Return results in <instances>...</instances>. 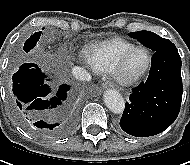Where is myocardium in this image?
I'll return each mask as SVG.
<instances>
[{"mask_svg": "<svg viewBox=\"0 0 190 165\" xmlns=\"http://www.w3.org/2000/svg\"><path fill=\"white\" fill-rule=\"evenodd\" d=\"M138 50H144L147 53V64L145 66V68L138 74L130 76L127 75L125 72V67H126V62L128 60V58L136 51ZM152 54L151 51L145 47V46H140V45H136L134 47H132L131 49L127 50L119 59L117 66L113 72V75L116 79V81L124 86H130V85H134L138 82H140L149 72V70L152 67Z\"/></svg>", "mask_w": 190, "mask_h": 165, "instance_id": "obj_1", "label": "myocardium"}]
</instances>
